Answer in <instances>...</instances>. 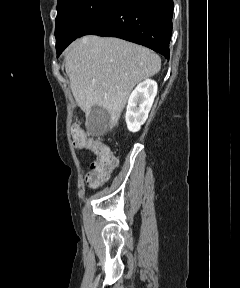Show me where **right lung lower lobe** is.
Here are the masks:
<instances>
[{
	"label": "right lung lower lobe",
	"mask_w": 240,
	"mask_h": 288,
	"mask_svg": "<svg viewBox=\"0 0 240 288\" xmlns=\"http://www.w3.org/2000/svg\"><path fill=\"white\" fill-rule=\"evenodd\" d=\"M173 0H113L80 34L128 40L169 57Z\"/></svg>",
	"instance_id": "right-lung-lower-lobe-1"
}]
</instances>
